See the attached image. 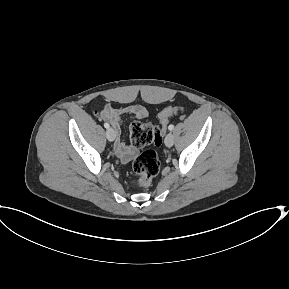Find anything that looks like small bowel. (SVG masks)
I'll list each match as a JSON object with an SVG mask.
<instances>
[{
	"mask_svg": "<svg viewBox=\"0 0 289 289\" xmlns=\"http://www.w3.org/2000/svg\"><path fill=\"white\" fill-rule=\"evenodd\" d=\"M147 115L148 111L142 105H129L116 109L109 104L102 110L100 114L101 119L109 122L118 136L114 148L117 156L123 163L131 161L137 155L138 150L134 146L126 145V143L120 138L122 132V119L125 116L143 119L147 117Z\"/></svg>",
	"mask_w": 289,
	"mask_h": 289,
	"instance_id": "small-bowel-1",
	"label": "small bowel"
}]
</instances>
